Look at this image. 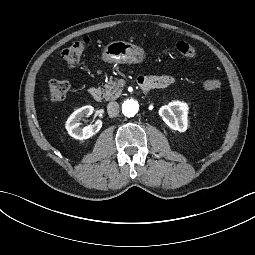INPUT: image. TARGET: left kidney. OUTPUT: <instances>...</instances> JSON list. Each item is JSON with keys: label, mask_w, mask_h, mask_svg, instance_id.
Returning a JSON list of instances; mask_svg holds the SVG:
<instances>
[{"label": "left kidney", "mask_w": 255, "mask_h": 255, "mask_svg": "<svg viewBox=\"0 0 255 255\" xmlns=\"http://www.w3.org/2000/svg\"><path fill=\"white\" fill-rule=\"evenodd\" d=\"M188 109L187 103L172 101L159 109V115L171 129L185 132L188 127Z\"/></svg>", "instance_id": "1"}]
</instances>
